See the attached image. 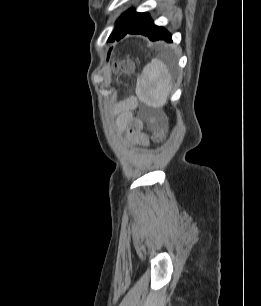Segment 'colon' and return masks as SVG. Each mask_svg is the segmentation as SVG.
Returning <instances> with one entry per match:
<instances>
[{
  "instance_id": "1",
  "label": "colon",
  "mask_w": 261,
  "mask_h": 306,
  "mask_svg": "<svg viewBox=\"0 0 261 306\" xmlns=\"http://www.w3.org/2000/svg\"><path fill=\"white\" fill-rule=\"evenodd\" d=\"M129 68H130V65L128 64L123 65V69L128 70Z\"/></svg>"
}]
</instances>
